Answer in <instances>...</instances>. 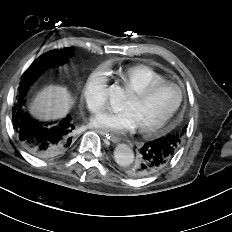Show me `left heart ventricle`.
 Returning <instances> with one entry per match:
<instances>
[{
	"label": "left heart ventricle",
	"mask_w": 232,
	"mask_h": 232,
	"mask_svg": "<svg viewBox=\"0 0 232 232\" xmlns=\"http://www.w3.org/2000/svg\"><path fill=\"white\" fill-rule=\"evenodd\" d=\"M178 97V90L172 86L160 88L143 100L129 94L122 110L133 115L137 127L148 126L161 120L177 102Z\"/></svg>",
	"instance_id": "b2bd125f"
}]
</instances>
